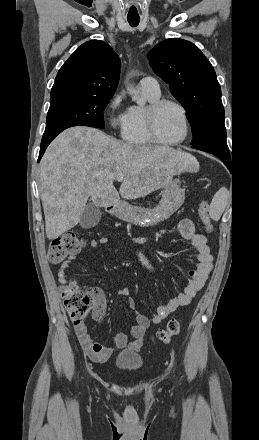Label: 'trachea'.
Listing matches in <instances>:
<instances>
[{"mask_svg":"<svg viewBox=\"0 0 259 440\" xmlns=\"http://www.w3.org/2000/svg\"><path fill=\"white\" fill-rule=\"evenodd\" d=\"M127 20L132 27L138 26V24L140 22V19H127Z\"/></svg>","mask_w":259,"mask_h":440,"instance_id":"3493384b","label":"trachea"}]
</instances>
